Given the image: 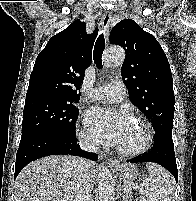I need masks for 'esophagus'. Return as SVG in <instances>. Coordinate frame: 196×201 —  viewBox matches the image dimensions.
<instances>
[{
    "label": "esophagus",
    "instance_id": "esophagus-1",
    "mask_svg": "<svg viewBox=\"0 0 196 201\" xmlns=\"http://www.w3.org/2000/svg\"><path fill=\"white\" fill-rule=\"evenodd\" d=\"M110 20H111V13L110 12H105L102 15V19H101L102 28H103V34H104L105 39H108V36H109ZM108 163L110 165H115V164H117V161L114 160V159H108Z\"/></svg>",
    "mask_w": 196,
    "mask_h": 201
}]
</instances>
